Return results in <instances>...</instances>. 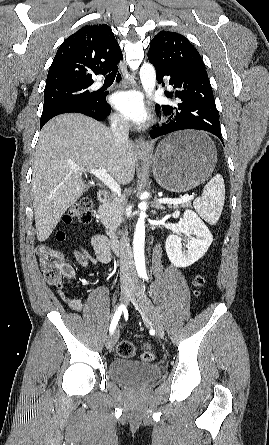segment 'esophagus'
<instances>
[{
    "label": "esophagus",
    "instance_id": "1",
    "mask_svg": "<svg viewBox=\"0 0 269 445\" xmlns=\"http://www.w3.org/2000/svg\"><path fill=\"white\" fill-rule=\"evenodd\" d=\"M125 85L132 88H138V84L136 82L129 80L125 81ZM135 146L137 149L144 150L146 148L144 139L142 137L136 139Z\"/></svg>",
    "mask_w": 269,
    "mask_h": 445
}]
</instances>
